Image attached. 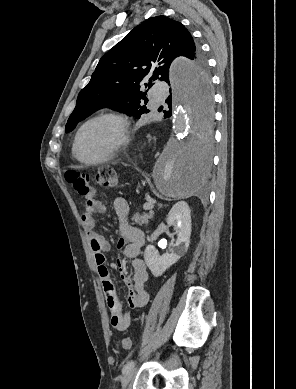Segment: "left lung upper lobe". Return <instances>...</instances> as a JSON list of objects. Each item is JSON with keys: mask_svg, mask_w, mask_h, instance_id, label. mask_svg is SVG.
Returning a JSON list of instances; mask_svg holds the SVG:
<instances>
[{"mask_svg": "<svg viewBox=\"0 0 296 389\" xmlns=\"http://www.w3.org/2000/svg\"><path fill=\"white\" fill-rule=\"evenodd\" d=\"M178 56L191 61L193 85L209 88L210 92L206 60L189 31L180 22L165 16L152 17L135 27L100 59L90 82L78 95L65 131H72L99 108H111L137 118L148 113L147 92L140 90L139 84L147 81L145 86L150 88L156 79L169 83V67ZM199 101L202 117L210 122L211 113L201 98ZM206 137L210 139L207 133Z\"/></svg>", "mask_w": 296, "mask_h": 389, "instance_id": "obj_1", "label": "left lung upper lobe"}]
</instances>
